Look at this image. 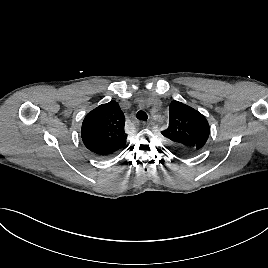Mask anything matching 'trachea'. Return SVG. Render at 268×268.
<instances>
[{
    "instance_id": "trachea-1",
    "label": "trachea",
    "mask_w": 268,
    "mask_h": 268,
    "mask_svg": "<svg viewBox=\"0 0 268 268\" xmlns=\"http://www.w3.org/2000/svg\"><path fill=\"white\" fill-rule=\"evenodd\" d=\"M136 117H137V119L143 120V121H146L147 118H148L146 112H144L142 110H140V111L137 112Z\"/></svg>"
}]
</instances>
